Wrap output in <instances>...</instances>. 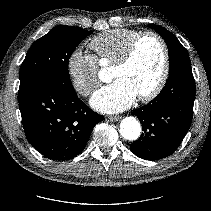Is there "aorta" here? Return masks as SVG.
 Here are the masks:
<instances>
[{
    "label": "aorta",
    "mask_w": 211,
    "mask_h": 211,
    "mask_svg": "<svg viewBox=\"0 0 211 211\" xmlns=\"http://www.w3.org/2000/svg\"><path fill=\"white\" fill-rule=\"evenodd\" d=\"M99 77L102 81H108V74L105 71H101ZM141 133V125L139 121L134 117H125L120 123V134L127 140H136Z\"/></svg>",
    "instance_id": "762f6f07"
}]
</instances>
